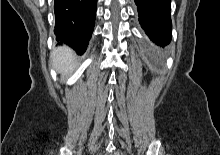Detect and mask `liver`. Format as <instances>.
Returning a JSON list of instances; mask_svg holds the SVG:
<instances>
[{
    "mask_svg": "<svg viewBox=\"0 0 220 155\" xmlns=\"http://www.w3.org/2000/svg\"><path fill=\"white\" fill-rule=\"evenodd\" d=\"M51 59L53 67L63 76H69L77 66L75 54L67 46H60L55 49Z\"/></svg>",
    "mask_w": 220,
    "mask_h": 155,
    "instance_id": "obj_1",
    "label": "liver"
}]
</instances>
